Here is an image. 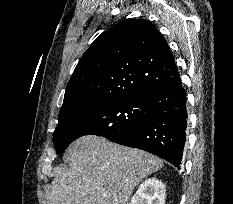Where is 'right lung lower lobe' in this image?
<instances>
[{
    "mask_svg": "<svg viewBox=\"0 0 233 204\" xmlns=\"http://www.w3.org/2000/svg\"><path fill=\"white\" fill-rule=\"evenodd\" d=\"M151 117L134 129L109 140L153 153L180 169L186 142L187 98L175 76L149 95Z\"/></svg>",
    "mask_w": 233,
    "mask_h": 204,
    "instance_id": "98d812e1",
    "label": "right lung lower lobe"
}]
</instances>
